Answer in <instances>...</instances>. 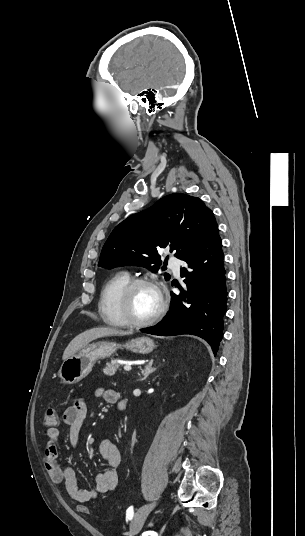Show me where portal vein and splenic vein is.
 <instances>
[{"mask_svg":"<svg viewBox=\"0 0 305 536\" xmlns=\"http://www.w3.org/2000/svg\"><path fill=\"white\" fill-rule=\"evenodd\" d=\"M124 370H126V372H129V370H132L131 364H126V366H124Z\"/></svg>","mask_w":305,"mask_h":536,"instance_id":"18ae733b","label":"portal vein and splenic vein"}]
</instances>
